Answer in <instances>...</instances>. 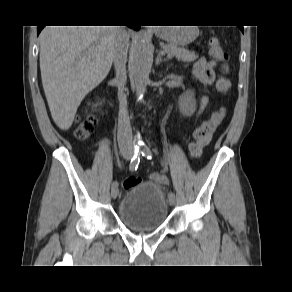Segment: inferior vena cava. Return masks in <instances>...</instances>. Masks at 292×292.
<instances>
[{"label":"inferior vena cava","instance_id":"inferior-vena-cava-1","mask_svg":"<svg viewBox=\"0 0 292 292\" xmlns=\"http://www.w3.org/2000/svg\"><path fill=\"white\" fill-rule=\"evenodd\" d=\"M118 34L115 43L114 67L116 71L115 82L118 87L119 119H118V144L120 150L132 152L133 136L130 119L127 111V98L123 92L127 80L126 62L129 48V37L124 27H118Z\"/></svg>","mask_w":292,"mask_h":292}]
</instances>
